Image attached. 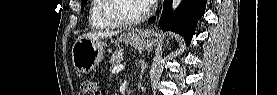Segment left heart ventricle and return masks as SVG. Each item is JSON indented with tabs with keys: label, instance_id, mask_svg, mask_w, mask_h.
<instances>
[{
	"label": "left heart ventricle",
	"instance_id": "b2bd125f",
	"mask_svg": "<svg viewBox=\"0 0 277 95\" xmlns=\"http://www.w3.org/2000/svg\"><path fill=\"white\" fill-rule=\"evenodd\" d=\"M142 0H117L112 3L110 12L122 18H135L144 10Z\"/></svg>",
	"mask_w": 277,
	"mask_h": 95
}]
</instances>
